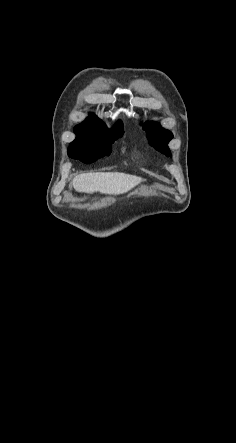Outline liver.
Wrapping results in <instances>:
<instances>
[{
	"label": "liver",
	"mask_w": 236,
	"mask_h": 443,
	"mask_svg": "<svg viewBox=\"0 0 236 443\" xmlns=\"http://www.w3.org/2000/svg\"><path fill=\"white\" fill-rule=\"evenodd\" d=\"M142 181V178L120 172H96L80 174L73 179L77 192L119 195L128 192Z\"/></svg>",
	"instance_id": "6515ba94"
}]
</instances>
